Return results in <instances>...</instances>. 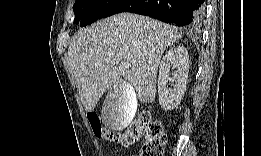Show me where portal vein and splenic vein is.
<instances>
[{
    "label": "portal vein and splenic vein",
    "instance_id": "18ae733b",
    "mask_svg": "<svg viewBox=\"0 0 261 156\" xmlns=\"http://www.w3.org/2000/svg\"><path fill=\"white\" fill-rule=\"evenodd\" d=\"M123 66L126 67V68H129L130 67V64L129 63H123Z\"/></svg>",
    "mask_w": 261,
    "mask_h": 156
}]
</instances>
